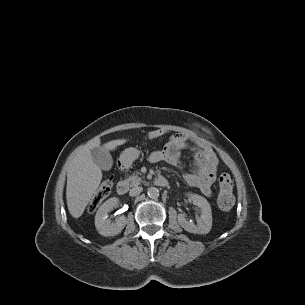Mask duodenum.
<instances>
[{"label":"duodenum","instance_id":"duodenum-1","mask_svg":"<svg viewBox=\"0 0 305 305\" xmlns=\"http://www.w3.org/2000/svg\"><path fill=\"white\" fill-rule=\"evenodd\" d=\"M122 169H124L123 166H122ZM154 183H155L156 186H159V187H165V186L168 185L167 179H166L165 177H163V176L157 177V178L155 179ZM128 188H129L128 182L125 181V180H122V181H120V182L118 183V185H117V192H118V194H120V195H124V194L127 193Z\"/></svg>","mask_w":305,"mask_h":305}]
</instances>
